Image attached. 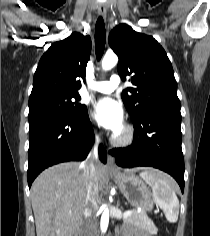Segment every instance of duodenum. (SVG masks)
I'll list each match as a JSON object with an SVG mask.
<instances>
[{"instance_id":"410a0bca","label":"duodenum","mask_w":210,"mask_h":236,"mask_svg":"<svg viewBox=\"0 0 210 236\" xmlns=\"http://www.w3.org/2000/svg\"><path fill=\"white\" fill-rule=\"evenodd\" d=\"M75 236H82V230H81V229H78Z\"/></svg>"}]
</instances>
